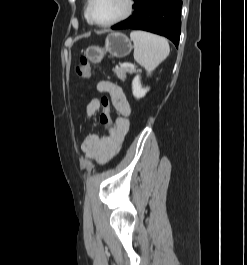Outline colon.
Masks as SVG:
<instances>
[{
	"instance_id": "1",
	"label": "colon",
	"mask_w": 247,
	"mask_h": 265,
	"mask_svg": "<svg viewBox=\"0 0 247 265\" xmlns=\"http://www.w3.org/2000/svg\"><path fill=\"white\" fill-rule=\"evenodd\" d=\"M92 67L86 57H82L80 63L76 67L77 75L82 79H88L91 76ZM102 113L100 115V122L103 125L109 126L112 122L110 113V104L107 98L103 101Z\"/></svg>"
}]
</instances>
